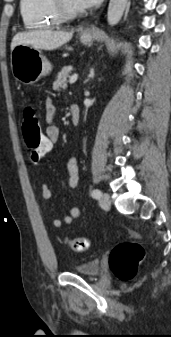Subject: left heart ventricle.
I'll return each mask as SVG.
<instances>
[{
	"label": "left heart ventricle",
	"mask_w": 171,
	"mask_h": 337,
	"mask_svg": "<svg viewBox=\"0 0 171 337\" xmlns=\"http://www.w3.org/2000/svg\"><path fill=\"white\" fill-rule=\"evenodd\" d=\"M66 2L67 5H69L70 7L76 9V7L74 6L72 0H64Z\"/></svg>",
	"instance_id": "b2bd125f"
}]
</instances>
